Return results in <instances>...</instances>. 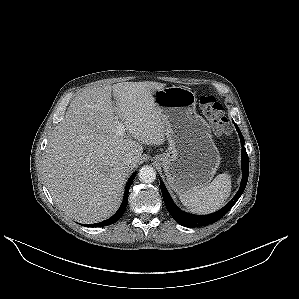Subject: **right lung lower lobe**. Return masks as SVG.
<instances>
[{"instance_id":"right-lung-lower-lobe-1","label":"right lung lower lobe","mask_w":299,"mask_h":299,"mask_svg":"<svg viewBox=\"0 0 299 299\" xmlns=\"http://www.w3.org/2000/svg\"><path fill=\"white\" fill-rule=\"evenodd\" d=\"M135 178V173L132 174V176L130 177L127 186L125 188V193H124V197H123V202L120 206V208L118 209V211L115 213V215H113L112 217H110L109 219L102 221L100 223H95V224H90V225H83V226H87V227H102V226H108L111 225L113 223H115L116 221H118L122 215L125 212V209L127 207V203H128V193H129V188L131 186V183L133 182Z\"/></svg>"}]
</instances>
